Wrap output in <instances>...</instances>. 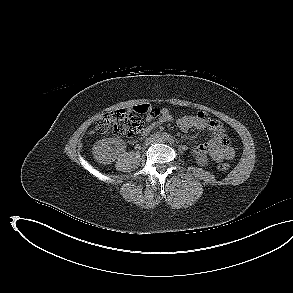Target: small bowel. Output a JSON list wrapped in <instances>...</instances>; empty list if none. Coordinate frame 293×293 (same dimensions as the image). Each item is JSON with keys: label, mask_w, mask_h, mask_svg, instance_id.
<instances>
[{"label": "small bowel", "mask_w": 293, "mask_h": 293, "mask_svg": "<svg viewBox=\"0 0 293 293\" xmlns=\"http://www.w3.org/2000/svg\"><path fill=\"white\" fill-rule=\"evenodd\" d=\"M134 111L140 114H146L148 125L140 131L141 136H146L160 124L172 120V115L166 108L141 104L135 106ZM177 125L183 132H187L190 129H208L213 134L210 140L195 147L192 150L193 154H207L216 162L233 159L234 150L230 146L223 126L217 120L212 119L207 113L199 112L197 115L183 116L178 119Z\"/></svg>", "instance_id": "obj_1"}]
</instances>
